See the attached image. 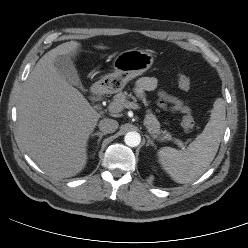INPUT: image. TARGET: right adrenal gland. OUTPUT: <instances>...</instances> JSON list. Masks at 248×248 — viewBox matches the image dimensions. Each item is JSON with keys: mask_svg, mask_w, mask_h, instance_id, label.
<instances>
[{"mask_svg": "<svg viewBox=\"0 0 248 248\" xmlns=\"http://www.w3.org/2000/svg\"><path fill=\"white\" fill-rule=\"evenodd\" d=\"M104 135H106V133L96 132V133L92 134L93 137H94V136H98V137H99V138H98L97 144L100 143V141L102 140V137H103ZM93 155H95V153H94Z\"/></svg>", "mask_w": 248, "mask_h": 248, "instance_id": "1", "label": "right adrenal gland"}]
</instances>
